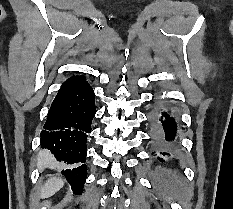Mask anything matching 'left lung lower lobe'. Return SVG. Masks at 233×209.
<instances>
[{
    "instance_id": "left-lung-lower-lobe-1",
    "label": "left lung lower lobe",
    "mask_w": 233,
    "mask_h": 209,
    "mask_svg": "<svg viewBox=\"0 0 233 209\" xmlns=\"http://www.w3.org/2000/svg\"><path fill=\"white\" fill-rule=\"evenodd\" d=\"M157 122L160 125V135H158V151L155 157L160 165L170 166L175 157L176 122L172 115L165 111L159 113Z\"/></svg>"
}]
</instances>
